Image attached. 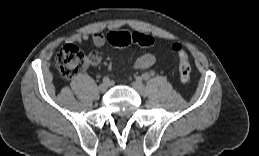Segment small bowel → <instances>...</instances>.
I'll use <instances>...</instances> for the list:
<instances>
[{
  "label": "small bowel",
  "mask_w": 259,
  "mask_h": 156,
  "mask_svg": "<svg viewBox=\"0 0 259 156\" xmlns=\"http://www.w3.org/2000/svg\"><path fill=\"white\" fill-rule=\"evenodd\" d=\"M92 41L93 44L97 47H103L108 41V35L98 32L93 34L92 36L88 34H77L71 38L72 42L77 43H86L88 41ZM90 63L92 65H97L100 62V56L97 53H92L89 57ZM155 63V56L151 53H145L141 55L134 63V67L136 69H146L151 67Z\"/></svg>",
  "instance_id": "small-bowel-1"
}]
</instances>
